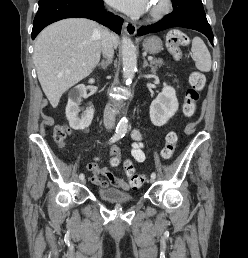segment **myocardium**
I'll use <instances>...</instances> for the list:
<instances>
[{
  "mask_svg": "<svg viewBox=\"0 0 248 258\" xmlns=\"http://www.w3.org/2000/svg\"><path fill=\"white\" fill-rule=\"evenodd\" d=\"M172 9V0H159L158 4L149 11L148 18L151 20H159L167 15Z\"/></svg>",
  "mask_w": 248,
  "mask_h": 258,
  "instance_id": "f54148a6",
  "label": "myocardium"
}]
</instances>
